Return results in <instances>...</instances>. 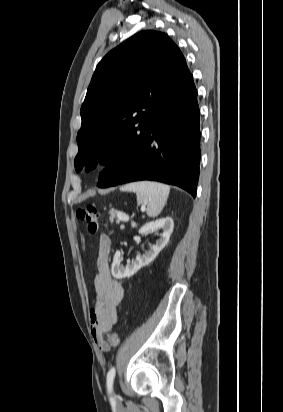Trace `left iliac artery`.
I'll return each instance as SVG.
<instances>
[{"label": "left iliac artery", "instance_id": "obj_1", "mask_svg": "<svg viewBox=\"0 0 283 412\" xmlns=\"http://www.w3.org/2000/svg\"><path fill=\"white\" fill-rule=\"evenodd\" d=\"M116 374L115 367H112L107 374V390L111 394L113 388V381Z\"/></svg>", "mask_w": 283, "mask_h": 412}]
</instances>
